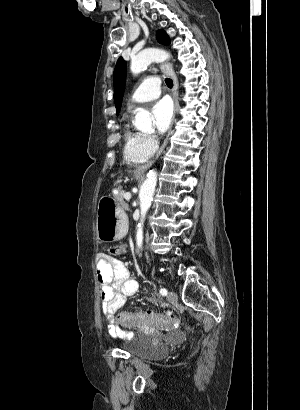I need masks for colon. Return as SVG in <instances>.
<instances>
[{"instance_id": "5ec220e1", "label": "colon", "mask_w": 300, "mask_h": 410, "mask_svg": "<svg viewBox=\"0 0 300 410\" xmlns=\"http://www.w3.org/2000/svg\"><path fill=\"white\" fill-rule=\"evenodd\" d=\"M108 252L111 256L120 257L127 253V246L123 244H117L109 247ZM177 314L168 312L167 314H157L153 312H134L123 313L119 316V322L125 327H138L143 326L150 328L152 326L166 325L175 322Z\"/></svg>"}]
</instances>
